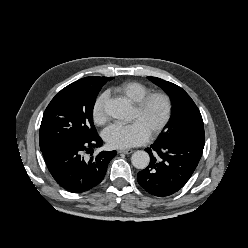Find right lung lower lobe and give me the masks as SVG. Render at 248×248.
Listing matches in <instances>:
<instances>
[{
    "label": "right lung lower lobe",
    "mask_w": 248,
    "mask_h": 248,
    "mask_svg": "<svg viewBox=\"0 0 248 248\" xmlns=\"http://www.w3.org/2000/svg\"><path fill=\"white\" fill-rule=\"evenodd\" d=\"M99 135L90 138L71 137L55 142L42 150L47 168L56 182L72 193L88 191L104 178L116 151H102L90 159L84 155L102 146Z\"/></svg>",
    "instance_id": "1"
}]
</instances>
